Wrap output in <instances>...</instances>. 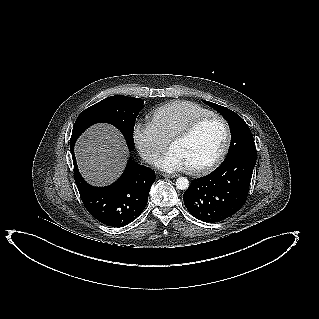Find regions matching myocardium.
<instances>
[{"mask_svg": "<svg viewBox=\"0 0 319 319\" xmlns=\"http://www.w3.org/2000/svg\"><path fill=\"white\" fill-rule=\"evenodd\" d=\"M209 120H217L222 124L225 131L224 143L220 152L210 163L201 167L187 168V172L194 176L208 174L214 169H216L223 162L224 158L228 153L231 143V129L229 127L228 122L222 116L217 114L200 116L188 123L184 128H182L180 131L174 134L169 140V147L171 148V146L176 142L185 140L186 138L190 137L201 124Z\"/></svg>", "mask_w": 319, "mask_h": 319, "instance_id": "1", "label": "myocardium"}]
</instances>
